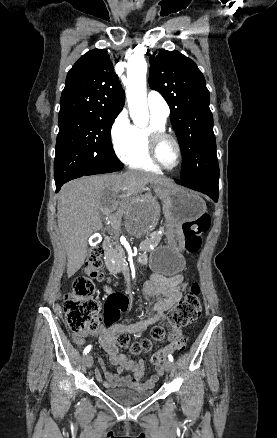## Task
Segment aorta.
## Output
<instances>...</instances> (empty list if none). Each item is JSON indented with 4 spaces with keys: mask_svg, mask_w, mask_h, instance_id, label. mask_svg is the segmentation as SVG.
<instances>
[{
    "mask_svg": "<svg viewBox=\"0 0 277 438\" xmlns=\"http://www.w3.org/2000/svg\"><path fill=\"white\" fill-rule=\"evenodd\" d=\"M147 63L143 56H132L127 65V101L130 116L135 125L144 127L148 122L149 111L146 101ZM158 216V207L154 200L146 199L137 204L129 215L128 229L132 236L146 234Z\"/></svg>",
    "mask_w": 277,
    "mask_h": 438,
    "instance_id": "762f6f07",
    "label": "aorta"
}]
</instances>
